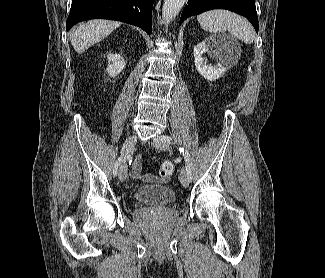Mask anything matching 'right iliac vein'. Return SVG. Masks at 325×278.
I'll return each instance as SVG.
<instances>
[{
	"instance_id": "1",
	"label": "right iliac vein",
	"mask_w": 325,
	"mask_h": 278,
	"mask_svg": "<svg viewBox=\"0 0 325 278\" xmlns=\"http://www.w3.org/2000/svg\"><path fill=\"white\" fill-rule=\"evenodd\" d=\"M137 142V137L136 136H130L129 138L126 139L125 143L123 144L122 147V156L124 158V162L122 163L118 177L120 181H124L127 178V164H126V159L130 156V154L133 152L135 145Z\"/></svg>"
}]
</instances>
